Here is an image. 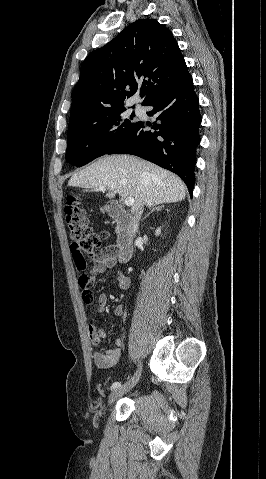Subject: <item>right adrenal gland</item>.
<instances>
[{
    "mask_svg": "<svg viewBox=\"0 0 266 479\" xmlns=\"http://www.w3.org/2000/svg\"><path fill=\"white\" fill-rule=\"evenodd\" d=\"M163 208H164V205H161V206H158V207L153 208V209L151 210V212H149V213L144 217L143 220H145L152 212H154V211H161Z\"/></svg>",
    "mask_w": 266,
    "mask_h": 479,
    "instance_id": "2a0ac1e0",
    "label": "right adrenal gland"
}]
</instances>
